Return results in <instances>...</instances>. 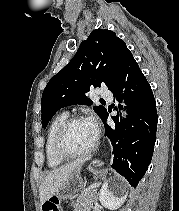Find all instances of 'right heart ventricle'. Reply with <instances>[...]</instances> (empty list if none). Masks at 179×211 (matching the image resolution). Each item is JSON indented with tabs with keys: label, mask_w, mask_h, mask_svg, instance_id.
Here are the masks:
<instances>
[{
	"label": "right heart ventricle",
	"mask_w": 179,
	"mask_h": 211,
	"mask_svg": "<svg viewBox=\"0 0 179 211\" xmlns=\"http://www.w3.org/2000/svg\"><path fill=\"white\" fill-rule=\"evenodd\" d=\"M69 117L68 113L63 112L54 117L48 126L45 140V157L46 163L49 168H57L64 162V159L60 158L54 149V142L56 134L63 124V122Z\"/></svg>",
	"instance_id": "1"
}]
</instances>
